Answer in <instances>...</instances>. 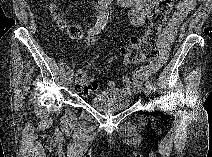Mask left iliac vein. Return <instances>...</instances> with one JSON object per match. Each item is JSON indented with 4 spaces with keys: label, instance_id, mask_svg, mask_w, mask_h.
<instances>
[{
    "label": "left iliac vein",
    "instance_id": "1",
    "mask_svg": "<svg viewBox=\"0 0 212 157\" xmlns=\"http://www.w3.org/2000/svg\"><path fill=\"white\" fill-rule=\"evenodd\" d=\"M150 93H151V90H150L149 88H146V89H145V94H146V95H150Z\"/></svg>",
    "mask_w": 212,
    "mask_h": 157
}]
</instances>
